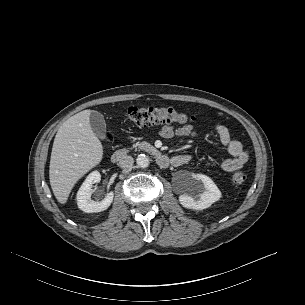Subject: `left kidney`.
<instances>
[{
    "mask_svg": "<svg viewBox=\"0 0 305 305\" xmlns=\"http://www.w3.org/2000/svg\"><path fill=\"white\" fill-rule=\"evenodd\" d=\"M196 187L200 191L197 199L192 195ZM220 198L221 192L212 179L203 174H193L188 181L187 192L179 196V202L185 208L203 210Z\"/></svg>",
    "mask_w": 305,
    "mask_h": 305,
    "instance_id": "1",
    "label": "left kidney"
}]
</instances>
